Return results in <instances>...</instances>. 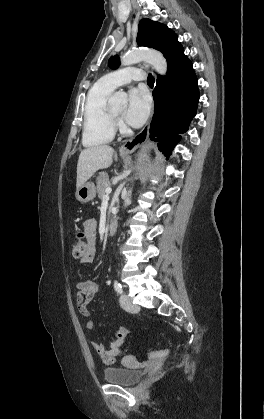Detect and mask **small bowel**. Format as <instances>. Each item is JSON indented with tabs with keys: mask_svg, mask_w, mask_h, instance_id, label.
Segmentation results:
<instances>
[{
	"mask_svg": "<svg viewBox=\"0 0 264 419\" xmlns=\"http://www.w3.org/2000/svg\"><path fill=\"white\" fill-rule=\"evenodd\" d=\"M84 231L89 239V250L88 253L83 258H81L80 262L90 263L94 260L96 252L95 237L97 231V221L95 219H87L84 222ZM96 287V283L92 280L81 281L76 285L78 290L76 304L80 315L85 318L90 317V312L87 305L94 295ZM94 327L95 323L93 320H89L86 323V328L88 330H93ZM127 334L128 330L125 327H118L114 333L113 340L108 345H104L96 341L92 342L93 348L99 354L101 361L105 365L113 364L116 361L117 357L122 351V347L124 345Z\"/></svg>",
	"mask_w": 264,
	"mask_h": 419,
	"instance_id": "1",
	"label": "small bowel"
}]
</instances>
